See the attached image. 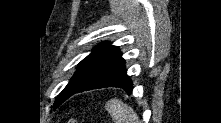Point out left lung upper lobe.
<instances>
[{"instance_id": "left-lung-upper-lobe-1", "label": "left lung upper lobe", "mask_w": 221, "mask_h": 123, "mask_svg": "<svg viewBox=\"0 0 221 123\" xmlns=\"http://www.w3.org/2000/svg\"><path fill=\"white\" fill-rule=\"evenodd\" d=\"M121 57V53L116 46L109 43L102 44L79 63V68L68 85L60 93L55 107L69 98L74 91L80 88L86 81L96 75L104 67Z\"/></svg>"}]
</instances>
